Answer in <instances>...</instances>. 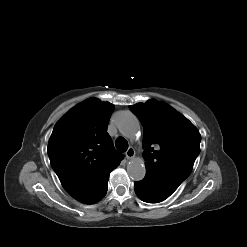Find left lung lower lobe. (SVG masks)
Returning <instances> with one entry per match:
<instances>
[{
	"label": "left lung lower lobe",
	"mask_w": 247,
	"mask_h": 247,
	"mask_svg": "<svg viewBox=\"0 0 247 247\" xmlns=\"http://www.w3.org/2000/svg\"><path fill=\"white\" fill-rule=\"evenodd\" d=\"M134 189L136 195L147 203L162 202L172 194L148 177H145L142 181L135 182Z\"/></svg>",
	"instance_id": "left-lung-lower-lobe-1"
}]
</instances>
